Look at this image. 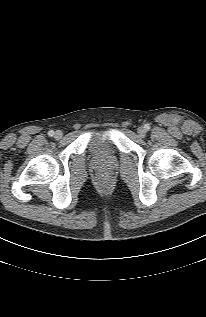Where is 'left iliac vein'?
Listing matches in <instances>:
<instances>
[{"mask_svg": "<svg viewBox=\"0 0 206 317\" xmlns=\"http://www.w3.org/2000/svg\"><path fill=\"white\" fill-rule=\"evenodd\" d=\"M146 129L144 127H139L137 133L140 137H144L146 135Z\"/></svg>", "mask_w": 206, "mask_h": 317, "instance_id": "1", "label": "left iliac vein"}]
</instances>
